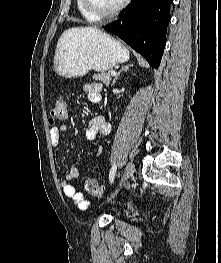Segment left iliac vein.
Returning <instances> with one entry per match:
<instances>
[{"instance_id": "4c4485c4", "label": "left iliac vein", "mask_w": 221, "mask_h": 263, "mask_svg": "<svg viewBox=\"0 0 221 263\" xmlns=\"http://www.w3.org/2000/svg\"><path fill=\"white\" fill-rule=\"evenodd\" d=\"M134 172V164L132 162H129L126 166V169L124 171V174L121 177L120 183L118 188L115 190V192L111 195V197L108 199L110 201L122 188V186L128 181V179L132 176Z\"/></svg>"}]
</instances>
